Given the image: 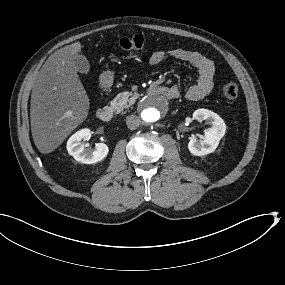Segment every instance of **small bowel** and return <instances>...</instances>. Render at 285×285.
I'll use <instances>...</instances> for the list:
<instances>
[{"label": "small bowel", "mask_w": 285, "mask_h": 285, "mask_svg": "<svg viewBox=\"0 0 285 285\" xmlns=\"http://www.w3.org/2000/svg\"><path fill=\"white\" fill-rule=\"evenodd\" d=\"M171 57L176 60L189 64L197 74L195 83L187 87L185 97L191 101H199L210 94L214 87V62L200 52L187 49H173L170 51H154L149 58L151 65L160 64L165 58ZM180 95L181 90L178 86L171 87Z\"/></svg>", "instance_id": "small-bowel-1"}]
</instances>
